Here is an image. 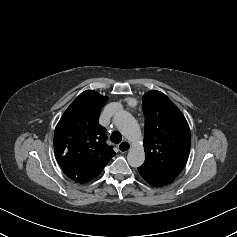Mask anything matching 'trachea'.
<instances>
[{"label":"trachea","mask_w":237,"mask_h":237,"mask_svg":"<svg viewBox=\"0 0 237 237\" xmlns=\"http://www.w3.org/2000/svg\"><path fill=\"white\" fill-rule=\"evenodd\" d=\"M110 139L113 143L118 144L122 141V136L119 132L115 131L111 134Z\"/></svg>","instance_id":"trachea-1"}]
</instances>
